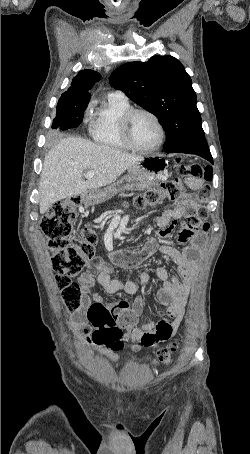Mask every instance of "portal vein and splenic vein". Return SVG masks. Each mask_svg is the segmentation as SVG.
Returning a JSON list of instances; mask_svg holds the SVG:
<instances>
[{
  "mask_svg": "<svg viewBox=\"0 0 250 454\" xmlns=\"http://www.w3.org/2000/svg\"><path fill=\"white\" fill-rule=\"evenodd\" d=\"M85 178L91 179L94 176V171L90 170L85 173Z\"/></svg>",
  "mask_w": 250,
  "mask_h": 454,
  "instance_id": "portal-vein-and-splenic-vein-1",
  "label": "portal vein and splenic vein"
}]
</instances>
